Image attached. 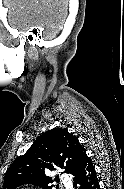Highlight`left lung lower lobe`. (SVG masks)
<instances>
[{"mask_svg":"<svg viewBox=\"0 0 124 189\" xmlns=\"http://www.w3.org/2000/svg\"><path fill=\"white\" fill-rule=\"evenodd\" d=\"M94 166L88 156L83 160L79 170L72 175L76 189H100Z\"/></svg>","mask_w":124,"mask_h":189,"instance_id":"obj_1","label":"left lung lower lobe"}]
</instances>
